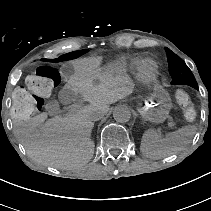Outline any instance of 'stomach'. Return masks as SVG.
I'll list each match as a JSON object with an SVG mask.
<instances>
[{
  "label": "stomach",
  "mask_w": 211,
  "mask_h": 211,
  "mask_svg": "<svg viewBox=\"0 0 211 211\" xmlns=\"http://www.w3.org/2000/svg\"><path fill=\"white\" fill-rule=\"evenodd\" d=\"M171 107L169 94L160 85H155L152 96L138 109V112L144 120L158 124L168 118Z\"/></svg>",
  "instance_id": "1"
}]
</instances>
